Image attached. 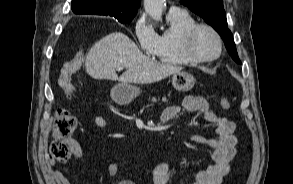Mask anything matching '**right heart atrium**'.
Listing matches in <instances>:
<instances>
[{
  "mask_svg": "<svg viewBox=\"0 0 293 184\" xmlns=\"http://www.w3.org/2000/svg\"><path fill=\"white\" fill-rule=\"evenodd\" d=\"M133 31L141 50L147 55H153L157 45L158 34L146 15L140 14L136 18Z\"/></svg>",
  "mask_w": 293,
  "mask_h": 184,
  "instance_id": "right-heart-atrium-1",
  "label": "right heart atrium"
}]
</instances>
